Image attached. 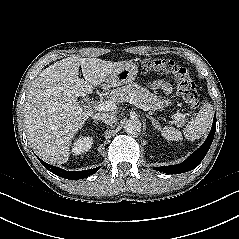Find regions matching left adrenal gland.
I'll return each instance as SVG.
<instances>
[{
    "instance_id": "left-adrenal-gland-1",
    "label": "left adrenal gland",
    "mask_w": 239,
    "mask_h": 239,
    "mask_svg": "<svg viewBox=\"0 0 239 239\" xmlns=\"http://www.w3.org/2000/svg\"><path fill=\"white\" fill-rule=\"evenodd\" d=\"M146 117L152 121V125H153L156 129L160 130V124H159L158 120H156L154 117H152V116H150V115H148V114L146 115Z\"/></svg>"
}]
</instances>
